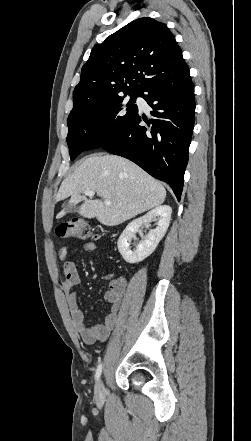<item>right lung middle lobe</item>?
Segmentation results:
<instances>
[{"label": "right lung middle lobe", "instance_id": "right-lung-middle-lobe-1", "mask_svg": "<svg viewBox=\"0 0 251 441\" xmlns=\"http://www.w3.org/2000/svg\"><path fill=\"white\" fill-rule=\"evenodd\" d=\"M86 100L74 105L68 116L67 144L71 160L81 152L101 147L117 135L138 111V94Z\"/></svg>", "mask_w": 251, "mask_h": 441}]
</instances>
